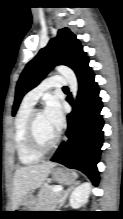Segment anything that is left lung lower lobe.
Returning <instances> with one entry per match:
<instances>
[{"label": "left lung lower lobe", "mask_w": 123, "mask_h": 219, "mask_svg": "<svg viewBox=\"0 0 123 219\" xmlns=\"http://www.w3.org/2000/svg\"><path fill=\"white\" fill-rule=\"evenodd\" d=\"M88 63V59L85 60L75 71L79 90L75 103L71 95L67 98L74 106L73 112L67 116L68 140L60 144L51 161L82 171L97 185L99 172L96 165L103 145L104 123L100 115L102 102L99 88Z\"/></svg>", "instance_id": "obj_1"}]
</instances>
